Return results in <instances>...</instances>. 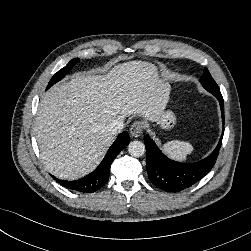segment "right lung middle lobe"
Wrapping results in <instances>:
<instances>
[{"instance_id":"right-lung-middle-lobe-1","label":"right lung middle lobe","mask_w":251,"mask_h":251,"mask_svg":"<svg viewBox=\"0 0 251 251\" xmlns=\"http://www.w3.org/2000/svg\"><path fill=\"white\" fill-rule=\"evenodd\" d=\"M79 62V58L72 59L65 67H63L61 70H59L50 80L48 83V88H50L53 84L60 81L62 78L66 76V74L75 66V64Z\"/></svg>"}]
</instances>
